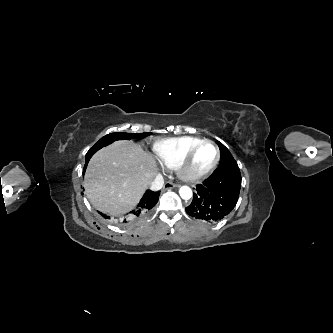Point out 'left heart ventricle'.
Here are the masks:
<instances>
[{"mask_svg": "<svg viewBox=\"0 0 333 333\" xmlns=\"http://www.w3.org/2000/svg\"><path fill=\"white\" fill-rule=\"evenodd\" d=\"M216 159V149L209 144L202 146L190 164V171L192 172H200L206 168H208Z\"/></svg>", "mask_w": 333, "mask_h": 333, "instance_id": "left-heart-ventricle-1", "label": "left heart ventricle"}]
</instances>
